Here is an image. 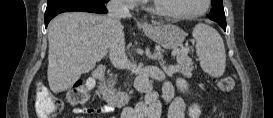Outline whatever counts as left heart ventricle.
Returning a JSON list of instances; mask_svg holds the SVG:
<instances>
[{
    "instance_id": "b2bd125f",
    "label": "left heart ventricle",
    "mask_w": 273,
    "mask_h": 118,
    "mask_svg": "<svg viewBox=\"0 0 273 118\" xmlns=\"http://www.w3.org/2000/svg\"><path fill=\"white\" fill-rule=\"evenodd\" d=\"M159 2L164 10L178 13L195 12L204 6L203 0H160Z\"/></svg>"
}]
</instances>
